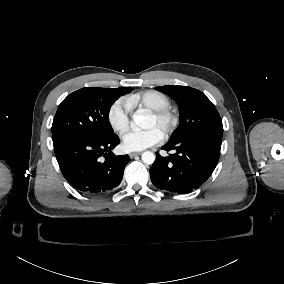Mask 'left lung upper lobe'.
<instances>
[{"label": "left lung upper lobe", "mask_w": 284, "mask_h": 284, "mask_svg": "<svg viewBox=\"0 0 284 284\" xmlns=\"http://www.w3.org/2000/svg\"><path fill=\"white\" fill-rule=\"evenodd\" d=\"M158 91L168 94L178 104L180 126L171 140L206 134L222 138V120L214 104L201 91L187 86H161Z\"/></svg>", "instance_id": "5c2ea615"}]
</instances>
